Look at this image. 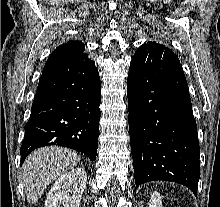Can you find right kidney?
Segmentation results:
<instances>
[{
    "instance_id": "ca27d5eb",
    "label": "right kidney",
    "mask_w": 220,
    "mask_h": 207,
    "mask_svg": "<svg viewBox=\"0 0 220 207\" xmlns=\"http://www.w3.org/2000/svg\"><path fill=\"white\" fill-rule=\"evenodd\" d=\"M86 182V172L81 168L64 173L48 192L45 207H80Z\"/></svg>"
}]
</instances>
